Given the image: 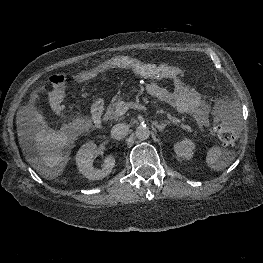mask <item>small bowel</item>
<instances>
[{
	"label": "small bowel",
	"mask_w": 263,
	"mask_h": 263,
	"mask_svg": "<svg viewBox=\"0 0 263 263\" xmlns=\"http://www.w3.org/2000/svg\"><path fill=\"white\" fill-rule=\"evenodd\" d=\"M174 89L168 90L167 88L159 85L156 82L146 84L145 89L149 95L157 100L170 105L178 113L190 114L200 127H208L209 125V110L210 105L205 101L201 95L192 87L187 86L180 77H172ZM63 97L56 105L53 102L51 95V104L54 109L59 111L63 102ZM38 96L34 95L32 102L37 100ZM31 109L30 106L26 108Z\"/></svg>",
	"instance_id": "1"
}]
</instances>
